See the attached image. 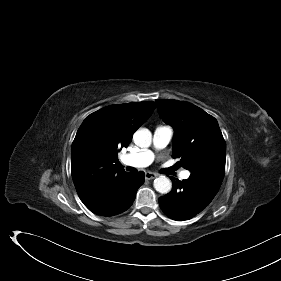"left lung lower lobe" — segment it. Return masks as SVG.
Here are the masks:
<instances>
[{"instance_id": "1", "label": "left lung lower lobe", "mask_w": 281, "mask_h": 281, "mask_svg": "<svg viewBox=\"0 0 281 281\" xmlns=\"http://www.w3.org/2000/svg\"><path fill=\"white\" fill-rule=\"evenodd\" d=\"M173 182V189L159 198L162 211L171 219L183 221L200 213L215 197L221 183L197 174Z\"/></svg>"}]
</instances>
